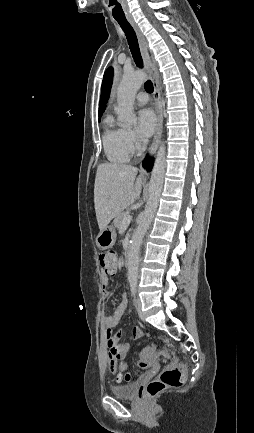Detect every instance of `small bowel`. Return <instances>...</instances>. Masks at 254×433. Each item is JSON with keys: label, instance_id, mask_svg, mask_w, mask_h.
<instances>
[{"label": "small bowel", "instance_id": "obj_1", "mask_svg": "<svg viewBox=\"0 0 254 433\" xmlns=\"http://www.w3.org/2000/svg\"><path fill=\"white\" fill-rule=\"evenodd\" d=\"M108 284V280H104V296L109 295L108 290L105 288ZM127 309V297L123 295L119 304L112 314H105L102 316L101 323L105 330L106 344L108 348L107 358L110 370L116 375L117 380H122L121 372L125 371L127 365L124 361L129 351V343L121 341L122 331L114 332L113 328L118 325ZM142 331L139 328H135L130 336L129 341L139 338ZM150 352H154V348H148Z\"/></svg>", "mask_w": 254, "mask_h": 433}]
</instances>
